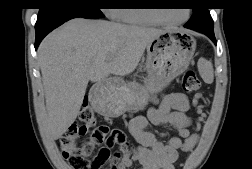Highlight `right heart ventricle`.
Wrapping results in <instances>:
<instances>
[{"label":"right heart ventricle","instance_id":"e07e8e85","mask_svg":"<svg viewBox=\"0 0 252 169\" xmlns=\"http://www.w3.org/2000/svg\"><path fill=\"white\" fill-rule=\"evenodd\" d=\"M118 20L131 25H150L154 23L147 19L140 10L133 8H121L118 10Z\"/></svg>","mask_w":252,"mask_h":169}]
</instances>
